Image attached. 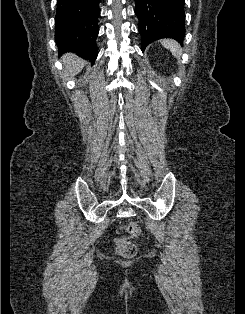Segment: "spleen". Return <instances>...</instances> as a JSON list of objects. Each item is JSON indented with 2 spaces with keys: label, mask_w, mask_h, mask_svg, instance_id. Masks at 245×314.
I'll use <instances>...</instances> for the list:
<instances>
[{
  "label": "spleen",
  "mask_w": 245,
  "mask_h": 314,
  "mask_svg": "<svg viewBox=\"0 0 245 314\" xmlns=\"http://www.w3.org/2000/svg\"><path fill=\"white\" fill-rule=\"evenodd\" d=\"M161 44L168 50L171 51L172 55L180 59L181 57V47L178 42L171 40V39H163L161 40Z\"/></svg>",
  "instance_id": "3e777b00"
}]
</instances>
